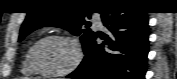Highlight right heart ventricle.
<instances>
[{
  "label": "right heart ventricle",
  "instance_id": "1",
  "mask_svg": "<svg viewBox=\"0 0 177 79\" xmlns=\"http://www.w3.org/2000/svg\"><path fill=\"white\" fill-rule=\"evenodd\" d=\"M34 43L27 49L24 60L22 63V73L27 74V75H37L39 74L32 66L31 61H30V51Z\"/></svg>",
  "mask_w": 177,
  "mask_h": 79
}]
</instances>
